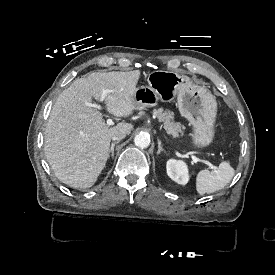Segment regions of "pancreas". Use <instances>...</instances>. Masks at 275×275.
Wrapping results in <instances>:
<instances>
[{
	"label": "pancreas",
	"instance_id": "obj_1",
	"mask_svg": "<svg viewBox=\"0 0 275 275\" xmlns=\"http://www.w3.org/2000/svg\"><path fill=\"white\" fill-rule=\"evenodd\" d=\"M153 116L158 119L159 122H163V128L166 130L167 134L172 135L176 138L180 135L182 136L185 126L180 122L174 121V112L163 108L153 109Z\"/></svg>",
	"mask_w": 275,
	"mask_h": 275
}]
</instances>
